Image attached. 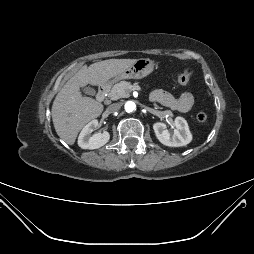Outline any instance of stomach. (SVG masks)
Wrapping results in <instances>:
<instances>
[{"mask_svg":"<svg viewBox=\"0 0 254 254\" xmlns=\"http://www.w3.org/2000/svg\"><path fill=\"white\" fill-rule=\"evenodd\" d=\"M153 69L154 62L149 58L137 59L133 65L115 76V79H142L149 75Z\"/></svg>","mask_w":254,"mask_h":254,"instance_id":"obj_1","label":"stomach"}]
</instances>
